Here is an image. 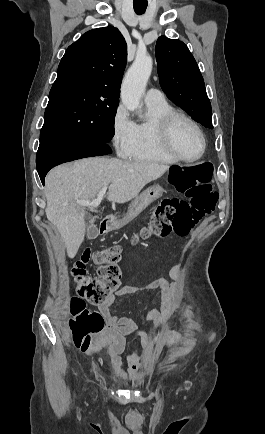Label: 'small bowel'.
Segmentation results:
<instances>
[{
  "mask_svg": "<svg viewBox=\"0 0 265 434\" xmlns=\"http://www.w3.org/2000/svg\"><path fill=\"white\" fill-rule=\"evenodd\" d=\"M182 265L177 264L170 270L173 283L165 279H156L145 285H125L99 304V312L105 320V327L102 331L95 333L87 352L82 355H94L101 349L107 350L110 359L112 373L120 381L137 377L139 366H147L155 346L162 344L165 348L177 346L184 339V335L178 331L165 328V322L171 316L178 305L180 292ZM156 290L161 291L162 302L159 309L149 310L145 319L152 321L156 326L154 336L138 329L134 320L130 317L117 316L112 314L111 305L118 297L127 295H144L151 297ZM181 323L185 325L187 318L183 317ZM134 336L140 340L142 353L140 356L129 355L126 359V366L122 354L126 348V337Z\"/></svg>",
  "mask_w": 265,
  "mask_h": 434,
  "instance_id": "1",
  "label": "small bowel"
}]
</instances>
